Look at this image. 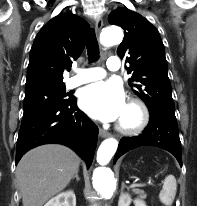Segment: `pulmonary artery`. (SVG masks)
Listing matches in <instances>:
<instances>
[{"label": "pulmonary artery", "mask_w": 197, "mask_h": 206, "mask_svg": "<svg viewBox=\"0 0 197 206\" xmlns=\"http://www.w3.org/2000/svg\"><path fill=\"white\" fill-rule=\"evenodd\" d=\"M107 68L110 71H117L120 68V60L117 57H110L107 61ZM105 71L99 67L77 69L76 75L69 78L66 82L68 88H75L82 84L103 78Z\"/></svg>", "instance_id": "pulmonary-artery-1"}]
</instances>
